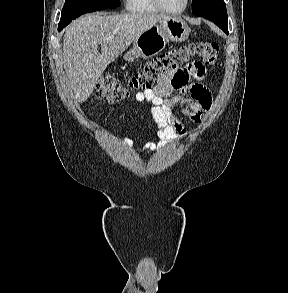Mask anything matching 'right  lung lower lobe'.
<instances>
[{"label":"right lung lower lobe","mask_w":288,"mask_h":293,"mask_svg":"<svg viewBox=\"0 0 288 293\" xmlns=\"http://www.w3.org/2000/svg\"><path fill=\"white\" fill-rule=\"evenodd\" d=\"M63 28H58V31H61Z\"/></svg>","instance_id":"obj_1"}]
</instances>
